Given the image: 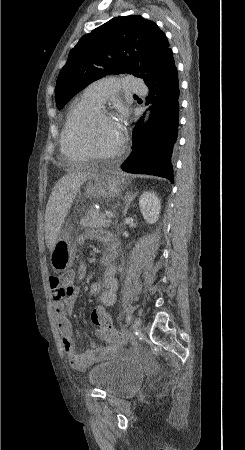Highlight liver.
<instances>
[{"instance_id": "1", "label": "liver", "mask_w": 245, "mask_h": 450, "mask_svg": "<svg viewBox=\"0 0 245 450\" xmlns=\"http://www.w3.org/2000/svg\"><path fill=\"white\" fill-rule=\"evenodd\" d=\"M97 173L96 169L69 172L54 186L45 211V240L50 252L60 234L62 225L83 183Z\"/></svg>"}]
</instances>
